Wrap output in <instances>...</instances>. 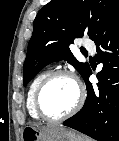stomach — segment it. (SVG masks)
<instances>
[{
    "instance_id": "obj_1",
    "label": "stomach",
    "mask_w": 119,
    "mask_h": 141,
    "mask_svg": "<svg viewBox=\"0 0 119 141\" xmlns=\"http://www.w3.org/2000/svg\"><path fill=\"white\" fill-rule=\"evenodd\" d=\"M22 141H87L81 134L60 126H27L22 131Z\"/></svg>"
}]
</instances>
